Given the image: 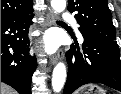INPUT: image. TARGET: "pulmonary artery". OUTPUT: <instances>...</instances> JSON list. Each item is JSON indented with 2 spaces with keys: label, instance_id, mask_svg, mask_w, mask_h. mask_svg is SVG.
<instances>
[{
  "label": "pulmonary artery",
  "instance_id": "1",
  "mask_svg": "<svg viewBox=\"0 0 121 94\" xmlns=\"http://www.w3.org/2000/svg\"><path fill=\"white\" fill-rule=\"evenodd\" d=\"M63 19H64L65 22H68V23L73 24L74 26H77L76 21H75L73 16H71L69 14H65L63 16ZM78 34H79L80 37H82L80 33H78Z\"/></svg>",
  "mask_w": 121,
  "mask_h": 94
}]
</instances>
